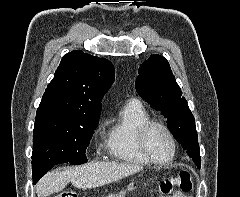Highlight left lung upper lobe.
I'll use <instances>...</instances> for the list:
<instances>
[{
    "instance_id": "5c2ea615",
    "label": "left lung upper lobe",
    "mask_w": 240,
    "mask_h": 197,
    "mask_svg": "<svg viewBox=\"0 0 240 197\" xmlns=\"http://www.w3.org/2000/svg\"><path fill=\"white\" fill-rule=\"evenodd\" d=\"M135 87L150 106L167 118V127L200 168L195 119L182 96L168 61L160 55H151L139 67Z\"/></svg>"
}]
</instances>
